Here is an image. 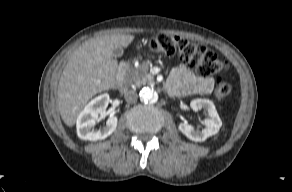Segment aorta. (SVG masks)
Masks as SVG:
<instances>
[{
	"instance_id": "obj_1",
	"label": "aorta",
	"mask_w": 292,
	"mask_h": 192,
	"mask_svg": "<svg viewBox=\"0 0 292 192\" xmlns=\"http://www.w3.org/2000/svg\"><path fill=\"white\" fill-rule=\"evenodd\" d=\"M140 100L146 104L155 103L158 100L157 92L150 87L142 88L139 92Z\"/></svg>"
}]
</instances>
